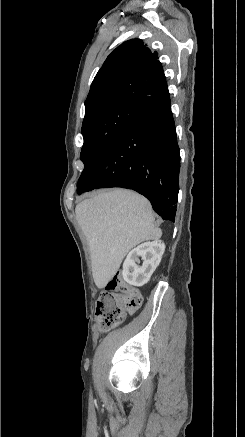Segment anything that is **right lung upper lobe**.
I'll use <instances>...</instances> for the list:
<instances>
[{
  "label": "right lung upper lobe",
  "mask_w": 245,
  "mask_h": 437,
  "mask_svg": "<svg viewBox=\"0 0 245 437\" xmlns=\"http://www.w3.org/2000/svg\"><path fill=\"white\" fill-rule=\"evenodd\" d=\"M169 96L157 52L142 40L131 39L118 46L96 74L85 101V114L107 103L127 102L141 108Z\"/></svg>",
  "instance_id": "1"
}]
</instances>
